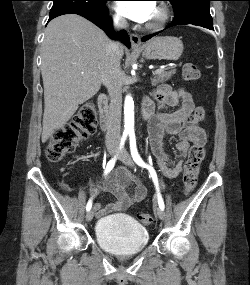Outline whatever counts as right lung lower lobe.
Wrapping results in <instances>:
<instances>
[{
  "label": "right lung lower lobe",
  "mask_w": 250,
  "mask_h": 285,
  "mask_svg": "<svg viewBox=\"0 0 250 285\" xmlns=\"http://www.w3.org/2000/svg\"><path fill=\"white\" fill-rule=\"evenodd\" d=\"M63 14H78L80 16H83L84 18L90 20L95 25L100 27L101 29H104L106 33L113 39H116L117 36H119V39L127 46L130 47V39L126 31H121L119 34H115L112 30V21L110 20V17L108 15V9L105 7L102 10L99 11H93V10H73L69 12H65ZM60 14V15H63ZM57 15V16H60ZM57 16H50L49 20H52L53 18Z\"/></svg>",
  "instance_id": "right-lung-lower-lobe-1"
}]
</instances>
